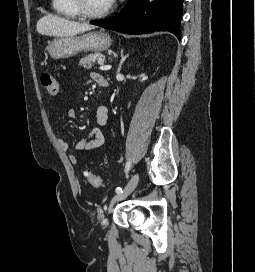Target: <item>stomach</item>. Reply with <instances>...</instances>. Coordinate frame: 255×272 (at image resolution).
Wrapping results in <instances>:
<instances>
[{
	"mask_svg": "<svg viewBox=\"0 0 255 272\" xmlns=\"http://www.w3.org/2000/svg\"><path fill=\"white\" fill-rule=\"evenodd\" d=\"M112 39L104 30L92 31L82 35L59 37L51 42L47 50L51 58L62 59L82 51L100 52L108 49Z\"/></svg>",
	"mask_w": 255,
	"mask_h": 272,
	"instance_id": "stomach-1",
	"label": "stomach"
}]
</instances>
